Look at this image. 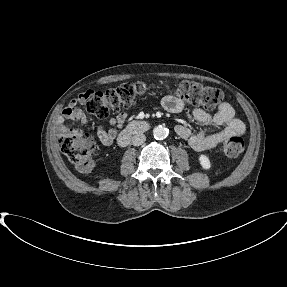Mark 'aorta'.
Here are the masks:
<instances>
[{
	"label": "aorta",
	"instance_id": "aorta-1",
	"mask_svg": "<svg viewBox=\"0 0 287 287\" xmlns=\"http://www.w3.org/2000/svg\"><path fill=\"white\" fill-rule=\"evenodd\" d=\"M169 130L162 125L156 126L153 129V136L157 140H163L168 136Z\"/></svg>",
	"mask_w": 287,
	"mask_h": 287
}]
</instances>
